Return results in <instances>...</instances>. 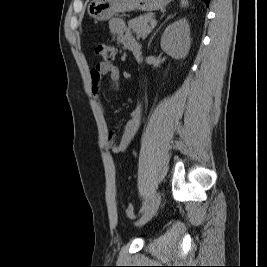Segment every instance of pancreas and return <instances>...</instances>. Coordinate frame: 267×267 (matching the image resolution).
<instances>
[{"label":"pancreas","instance_id":"obj_1","mask_svg":"<svg viewBox=\"0 0 267 267\" xmlns=\"http://www.w3.org/2000/svg\"><path fill=\"white\" fill-rule=\"evenodd\" d=\"M152 18L153 15L150 13L140 15L130 20L128 26L138 38L145 39L154 28V26L149 24Z\"/></svg>","mask_w":267,"mask_h":267}]
</instances>
